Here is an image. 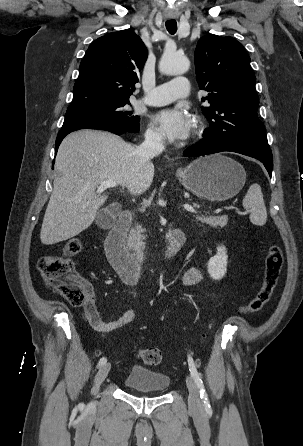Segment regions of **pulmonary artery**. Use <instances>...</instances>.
<instances>
[{
	"label": "pulmonary artery",
	"mask_w": 303,
	"mask_h": 446,
	"mask_svg": "<svg viewBox=\"0 0 303 446\" xmlns=\"http://www.w3.org/2000/svg\"><path fill=\"white\" fill-rule=\"evenodd\" d=\"M189 93V82L185 77H175L161 84L147 94L142 102L147 105L160 106L184 98Z\"/></svg>",
	"instance_id": "pulmonary-artery-1"
}]
</instances>
